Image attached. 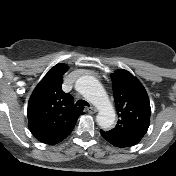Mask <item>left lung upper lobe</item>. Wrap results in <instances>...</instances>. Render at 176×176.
<instances>
[{
    "label": "left lung upper lobe",
    "mask_w": 176,
    "mask_h": 176,
    "mask_svg": "<svg viewBox=\"0 0 176 176\" xmlns=\"http://www.w3.org/2000/svg\"><path fill=\"white\" fill-rule=\"evenodd\" d=\"M118 122L106 134L129 146L136 145L146 134L150 122V102L142 84L128 71L111 75Z\"/></svg>",
    "instance_id": "left-lung-upper-lobe-1"
}]
</instances>
